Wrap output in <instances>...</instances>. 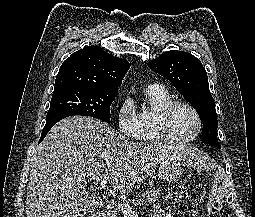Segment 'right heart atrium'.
I'll use <instances>...</instances> for the list:
<instances>
[{"mask_svg":"<svg viewBox=\"0 0 255 217\" xmlns=\"http://www.w3.org/2000/svg\"><path fill=\"white\" fill-rule=\"evenodd\" d=\"M117 128L121 134L128 138H136L138 134V116L134 105L129 98L119 104L116 111Z\"/></svg>","mask_w":255,"mask_h":217,"instance_id":"right-heart-atrium-1","label":"right heart atrium"}]
</instances>
